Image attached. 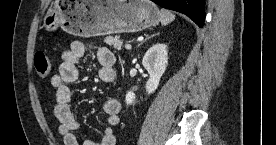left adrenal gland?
Here are the masks:
<instances>
[{
    "label": "left adrenal gland",
    "instance_id": "left-adrenal-gland-1",
    "mask_svg": "<svg viewBox=\"0 0 276 145\" xmlns=\"http://www.w3.org/2000/svg\"><path fill=\"white\" fill-rule=\"evenodd\" d=\"M156 35H159V33H156V34H153V35H151V36H148V37H146L139 45H141V44H143L145 41H147L148 39H150V38H152V37H155ZM138 45V46H139Z\"/></svg>",
    "mask_w": 276,
    "mask_h": 145
}]
</instances>
